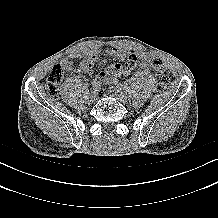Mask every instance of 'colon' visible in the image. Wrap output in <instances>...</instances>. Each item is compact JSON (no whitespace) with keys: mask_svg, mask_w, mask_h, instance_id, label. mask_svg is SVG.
Masks as SVG:
<instances>
[{"mask_svg":"<svg viewBox=\"0 0 218 218\" xmlns=\"http://www.w3.org/2000/svg\"><path fill=\"white\" fill-rule=\"evenodd\" d=\"M152 69L155 75L158 90L162 92L167 88L170 82L169 71L167 70L164 63L159 59L153 60ZM122 73H123L122 65L120 64L110 65L104 71L100 72V74L97 77V80H104L108 78L121 76ZM63 75L64 74L61 65L58 64L52 68L45 85V89L50 96L56 97L58 95L59 87L63 80Z\"/></svg>","mask_w":218,"mask_h":218,"instance_id":"colon-1","label":"colon"}]
</instances>
